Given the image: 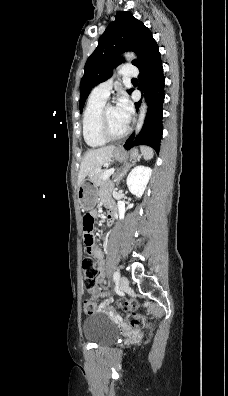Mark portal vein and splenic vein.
Returning a JSON list of instances; mask_svg holds the SVG:
<instances>
[{
    "mask_svg": "<svg viewBox=\"0 0 228 396\" xmlns=\"http://www.w3.org/2000/svg\"><path fill=\"white\" fill-rule=\"evenodd\" d=\"M114 171H115L114 168H110V169L106 170L103 174V180L108 179L114 173Z\"/></svg>",
    "mask_w": 228,
    "mask_h": 396,
    "instance_id": "18ae733b",
    "label": "portal vein and splenic vein"
}]
</instances>
